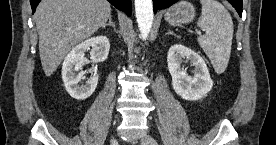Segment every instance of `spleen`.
<instances>
[{
	"instance_id": "1",
	"label": "spleen",
	"mask_w": 276,
	"mask_h": 145,
	"mask_svg": "<svg viewBox=\"0 0 276 145\" xmlns=\"http://www.w3.org/2000/svg\"><path fill=\"white\" fill-rule=\"evenodd\" d=\"M202 12L197 25L206 31L198 43L210 59L214 70L222 74L230 59L233 21L227 9L216 0H201Z\"/></svg>"
}]
</instances>
